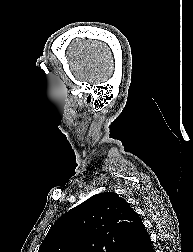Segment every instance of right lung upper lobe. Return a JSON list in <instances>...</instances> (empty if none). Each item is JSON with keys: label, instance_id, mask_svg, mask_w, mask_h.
<instances>
[{"label": "right lung upper lobe", "instance_id": "cb5924a9", "mask_svg": "<svg viewBox=\"0 0 193 252\" xmlns=\"http://www.w3.org/2000/svg\"><path fill=\"white\" fill-rule=\"evenodd\" d=\"M144 230L125 199L104 192L60 217L39 252H129Z\"/></svg>", "mask_w": 193, "mask_h": 252}]
</instances>
